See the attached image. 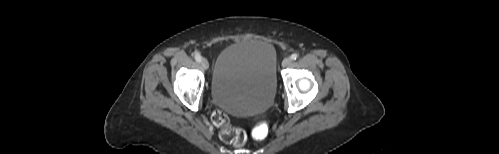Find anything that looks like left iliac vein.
<instances>
[{
	"label": "left iliac vein",
	"mask_w": 499,
	"mask_h": 154,
	"mask_svg": "<svg viewBox=\"0 0 499 154\" xmlns=\"http://www.w3.org/2000/svg\"><path fill=\"white\" fill-rule=\"evenodd\" d=\"M290 64H291V58L286 57V58H284V59H283V61H282V66H283V67H287V66H289Z\"/></svg>",
	"instance_id": "4c4485c4"
}]
</instances>
